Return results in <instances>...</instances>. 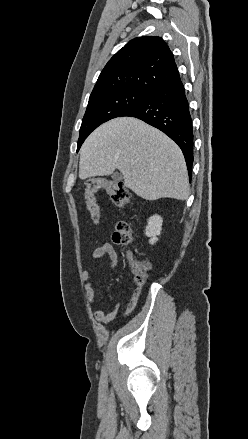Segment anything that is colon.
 Here are the masks:
<instances>
[{
    "label": "colon",
    "instance_id": "5ec220e1",
    "mask_svg": "<svg viewBox=\"0 0 248 439\" xmlns=\"http://www.w3.org/2000/svg\"><path fill=\"white\" fill-rule=\"evenodd\" d=\"M100 190H104L109 195L112 202L119 207L126 206L131 198L128 188L120 181L105 178L88 179L86 181L84 199L86 210L95 224L99 223L101 219V211L96 199V193ZM112 239L116 244L126 245L131 243L133 241V235L130 225L125 221L118 222ZM131 268L134 274L135 283L137 285H142L145 282L147 271L150 268L149 262L135 261L131 264Z\"/></svg>",
    "mask_w": 248,
    "mask_h": 439
}]
</instances>
